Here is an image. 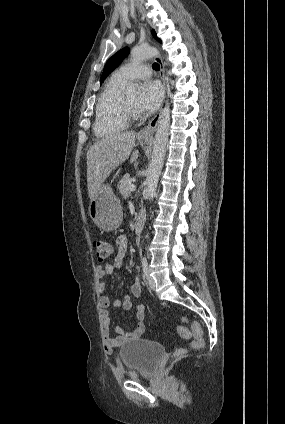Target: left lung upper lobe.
Here are the masks:
<instances>
[{"mask_svg": "<svg viewBox=\"0 0 285 424\" xmlns=\"http://www.w3.org/2000/svg\"><path fill=\"white\" fill-rule=\"evenodd\" d=\"M152 34L154 35V37H156V33L154 30H152ZM130 52V49L128 47H125L121 50H119L116 54H114L106 63L101 79H100V83H102L106 77L117 67L119 66L122 61L128 56Z\"/></svg>", "mask_w": 285, "mask_h": 424, "instance_id": "left-lung-upper-lobe-1", "label": "left lung upper lobe"}]
</instances>
